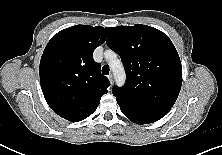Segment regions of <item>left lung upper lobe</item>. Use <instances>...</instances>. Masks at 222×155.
<instances>
[{
	"label": "left lung upper lobe",
	"mask_w": 222,
	"mask_h": 155,
	"mask_svg": "<svg viewBox=\"0 0 222 155\" xmlns=\"http://www.w3.org/2000/svg\"><path fill=\"white\" fill-rule=\"evenodd\" d=\"M105 30L107 45L121 57L127 74L125 86H115L112 90L119 106L164 117L182 85L181 61L169 37L142 24Z\"/></svg>",
	"instance_id": "obj_1"
}]
</instances>
